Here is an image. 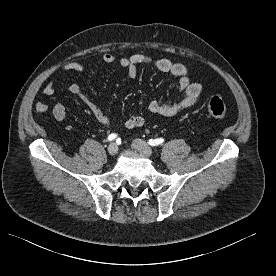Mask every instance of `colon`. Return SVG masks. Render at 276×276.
<instances>
[{
  "label": "colon",
  "instance_id": "obj_1",
  "mask_svg": "<svg viewBox=\"0 0 276 276\" xmlns=\"http://www.w3.org/2000/svg\"><path fill=\"white\" fill-rule=\"evenodd\" d=\"M208 113L216 119H224L227 116V106L221 97H213L207 105Z\"/></svg>",
  "mask_w": 276,
  "mask_h": 276
}]
</instances>
